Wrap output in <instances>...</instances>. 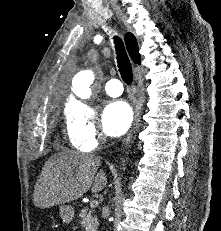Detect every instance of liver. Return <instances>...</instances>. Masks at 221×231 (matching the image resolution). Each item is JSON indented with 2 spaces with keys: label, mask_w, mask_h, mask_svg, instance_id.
Listing matches in <instances>:
<instances>
[{
  "label": "liver",
  "mask_w": 221,
  "mask_h": 231,
  "mask_svg": "<svg viewBox=\"0 0 221 231\" xmlns=\"http://www.w3.org/2000/svg\"><path fill=\"white\" fill-rule=\"evenodd\" d=\"M101 160L92 154L64 151L54 154L45 163L35 186L33 203L41 209L69 203L106 186L107 177L98 171Z\"/></svg>",
  "instance_id": "1"
}]
</instances>
